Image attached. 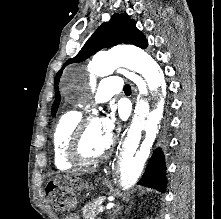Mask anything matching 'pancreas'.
Returning a JSON list of instances; mask_svg holds the SVG:
<instances>
[{
    "label": "pancreas",
    "mask_w": 221,
    "mask_h": 219,
    "mask_svg": "<svg viewBox=\"0 0 221 219\" xmlns=\"http://www.w3.org/2000/svg\"><path fill=\"white\" fill-rule=\"evenodd\" d=\"M103 200V197H99L86 204L82 208L84 219H94L98 214L102 213L103 211H99V209L102 207L101 204Z\"/></svg>",
    "instance_id": "1"
}]
</instances>
